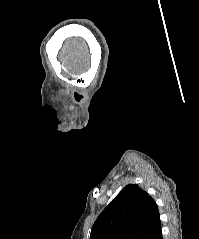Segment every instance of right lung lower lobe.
I'll list each match as a JSON object with an SVG mask.
<instances>
[{"instance_id": "obj_1", "label": "right lung lower lobe", "mask_w": 199, "mask_h": 239, "mask_svg": "<svg viewBox=\"0 0 199 239\" xmlns=\"http://www.w3.org/2000/svg\"><path fill=\"white\" fill-rule=\"evenodd\" d=\"M141 239H162V231H161L160 220L150 230H148L141 237Z\"/></svg>"}]
</instances>
